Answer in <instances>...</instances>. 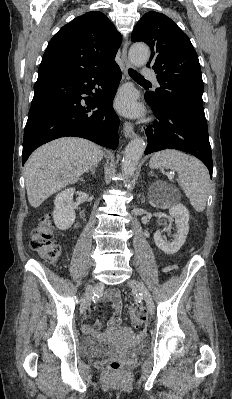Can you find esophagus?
I'll return each mask as SVG.
<instances>
[{"mask_svg": "<svg viewBox=\"0 0 232 399\" xmlns=\"http://www.w3.org/2000/svg\"><path fill=\"white\" fill-rule=\"evenodd\" d=\"M127 50H128V41L126 40V42L122 48V53H121V60H122L123 68H124L125 72H127V70H129L132 67V65L130 64V62L128 60ZM123 131H124V134L126 135V137H128V138H132L137 135L134 132L133 125L130 122L124 123Z\"/></svg>", "mask_w": 232, "mask_h": 399, "instance_id": "1", "label": "esophagus"}]
</instances>
